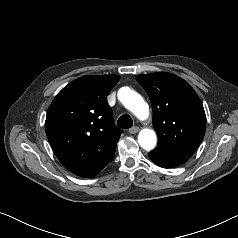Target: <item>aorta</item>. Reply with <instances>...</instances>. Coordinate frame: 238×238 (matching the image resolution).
<instances>
[{
	"mask_svg": "<svg viewBox=\"0 0 238 238\" xmlns=\"http://www.w3.org/2000/svg\"><path fill=\"white\" fill-rule=\"evenodd\" d=\"M118 98L125 108L131 111L139 120H146L149 117V106L141 95L128 87L118 91ZM139 145L147 150H153L157 143V136L153 129L144 128L138 134Z\"/></svg>",
	"mask_w": 238,
	"mask_h": 238,
	"instance_id": "1",
	"label": "aorta"
}]
</instances>
